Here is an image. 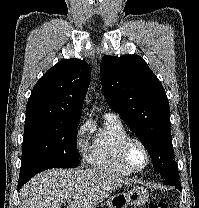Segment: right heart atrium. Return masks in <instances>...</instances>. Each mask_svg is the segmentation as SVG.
Returning a JSON list of instances; mask_svg holds the SVG:
<instances>
[{"label": "right heart atrium", "mask_w": 199, "mask_h": 208, "mask_svg": "<svg viewBox=\"0 0 199 208\" xmlns=\"http://www.w3.org/2000/svg\"><path fill=\"white\" fill-rule=\"evenodd\" d=\"M91 124L88 120L82 121L76 128L75 147L79 154L86 156L88 153V144L86 137L90 131Z\"/></svg>", "instance_id": "1"}]
</instances>
